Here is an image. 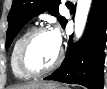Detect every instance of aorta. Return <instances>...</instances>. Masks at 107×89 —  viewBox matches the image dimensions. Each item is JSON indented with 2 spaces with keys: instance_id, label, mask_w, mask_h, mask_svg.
Segmentation results:
<instances>
[{
  "instance_id": "1",
  "label": "aorta",
  "mask_w": 107,
  "mask_h": 89,
  "mask_svg": "<svg viewBox=\"0 0 107 89\" xmlns=\"http://www.w3.org/2000/svg\"><path fill=\"white\" fill-rule=\"evenodd\" d=\"M91 3H92V0L77 1V8H76V14L74 19L75 21L74 31H75L76 40H78L84 32Z\"/></svg>"
}]
</instances>
